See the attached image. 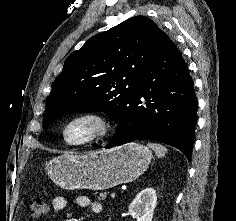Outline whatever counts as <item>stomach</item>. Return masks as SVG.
Wrapping results in <instances>:
<instances>
[{"instance_id": "obj_1", "label": "stomach", "mask_w": 236, "mask_h": 221, "mask_svg": "<svg viewBox=\"0 0 236 221\" xmlns=\"http://www.w3.org/2000/svg\"><path fill=\"white\" fill-rule=\"evenodd\" d=\"M148 147L135 142L83 155L66 153L46 164L51 180L66 190H104L136 180L152 160Z\"/></svg>"}]
</instances>
